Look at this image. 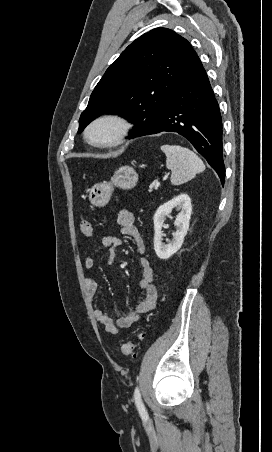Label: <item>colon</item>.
I'll use <instances>...</instances> for the list:
<instances>
[{
	"mask_svg": "<svg viewBox=\"0 0 272 452\" xmlns=\"http://www.w3.org/2000/svg\"><path fill=\"white\" fill-rule=\"evenodd\" d=\"M81 232L86 237H91L93 235V227L92 224L88 220H82L80 223ZM143 338V334H139L138 339L141 340ZM136 342L135 341H127L123 343L120 347V353L123 356H133L135 353Z\"/></svg>",
	"mask_w": 272,
	"mask_h": 452,
	"instance_id": "5ec220e1",
	"label": "colon"
}]
</instances>
